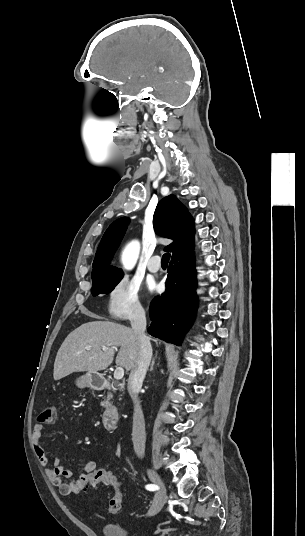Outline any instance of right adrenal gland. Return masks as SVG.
Segmentation results:
<instances>
[{"instance_id": "2a0ac1e0", "label": "right adrenal gland", "mask_w": 305, "mask_h": 536, "mask_svg": "<svg viewBox=\"0 0 305 536\" xmlns=\"http://www.w3.org/2000/svg\"><path fill=\"white\" fill-rule=\"evenodd\" d=\"M154 364H155V358H153V360L151 362L150 372H152Z\"/></svg>"}]
</instances>
